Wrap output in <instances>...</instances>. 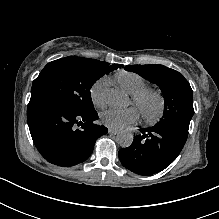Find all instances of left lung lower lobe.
I'll use <instances>...</instances> for the list:
<instances>
[{
  "label": "left lung lower lobe",
  "mask_w": 219,
  "mask_h": 219,
  "mask_svg": "<svg viewBox=\"0 0 219 219\" xmlns=\"http://www.w3.org/2000/svg\"><path fill=\"white\" fill-rule=\"evenodd\" d=\"M133 143L119 150V159L128 170L139 175H153L168 167L179 155L188 131L177 126L154 125L141 128Z\"/></svg>",
  "instance_id": "left-lung-lower-lobe-1"
}]
</instances>
